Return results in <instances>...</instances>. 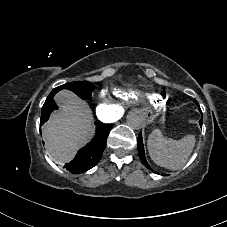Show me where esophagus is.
Segmentation results:
<instances>
[{
    "label": "esophagus",
    "mask_w": 227,
    "mask_h": 227,
    "mask_svg": "<svg viewBox=\"0 0 227 227\" xmlns=\"http://www.w3.org/2000/svg\"><path fill=\"white\" fill-rule=\"evenodd\" d=\"M155 117V114L153 111L148 110L145 112L144 116L142 117V122L144 124H149L151 122V120H153Z\"/></svg>",
    "instance_id": "34e87169"
}]
</instances>
